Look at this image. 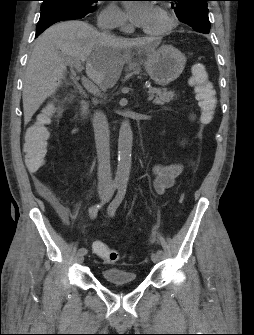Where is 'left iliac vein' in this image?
I'll list each match as a JSON object with an SVG mask.
<instances>
[{"instance_id": "1", "label": "left iliac vein", "mask_w": 254, "mask_h": 335, "mask_svg": "<svg viewBox=\"0 0 254 335\" xmlns=\"http://www.w3.org/2000/svg\"><path fill=\"white\" fill-rule=\"evenodd\" d=\"M160 259H161V257L158 254H156V253H152L151 254V260H152V262L157 263V262L160 261Z\"/></svg>"}]
</instances>
